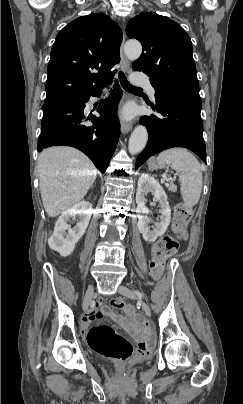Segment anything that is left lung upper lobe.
Here are the masks:
<instances>
[{"instance_id":"1","label":"left lung upper lobe","mask_w":243,"mask_h":404,"mask_svg":"<svg viewBox=\"0 0 243 404\" xmlns=\"http://www.w3.org/2000/svg\"><path fill=\"white\" fill-rule=\"evenodd\" d=\"M126 33L142 44V54L132 68L150 76L155 98L165 94L200 97L192 43L180 25L168 17L145 12L130 19Z\"/></svg>"}]
</instances>
